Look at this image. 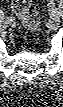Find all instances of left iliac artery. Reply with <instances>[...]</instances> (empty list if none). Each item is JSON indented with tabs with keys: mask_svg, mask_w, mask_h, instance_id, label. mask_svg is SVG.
<instances>
[{
	"mask_svg": "<svg viewBox=\"0 0 63 107\" xmlns=\"http://www.w3.org/2000/svg\"><path fill=\"white\" fill-rule=\"evenodd\" d=\"M49 7H50V9H54V4L51 2V3H49Z\"/></svg>",
	"mask_w": 63,
	"mask_h": 107,
	"instance_id": "1",
	"label": "left iliac artery"
}]
</instances>
